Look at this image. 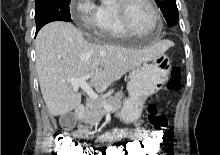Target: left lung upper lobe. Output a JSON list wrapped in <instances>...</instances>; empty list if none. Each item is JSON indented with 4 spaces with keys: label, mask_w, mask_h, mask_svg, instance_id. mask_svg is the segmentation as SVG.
I'll return each instance as SVG.
<instances>
[{
    "label": "left lung upper lobe",
    "mask_w": 220,
    "mask_h": 155,
    "mask_svg": "<svg viewBox=\"0 0 220 155\" xmlns=\"http://www.w3.org/2000/svg\"><path fill=\"white\" fill-rule=\"evenodd\" d=\"M160 7L168 25L173 26L178 22V9L175 0H155Z\"/></svg>",
    "instance_id": "obj_1"
}]
</instances>
